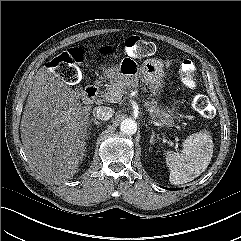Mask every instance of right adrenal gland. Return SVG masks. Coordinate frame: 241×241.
Returning a JSON list of instances; mask_svg holds the SVG:
<instances>
[{"label": "right adrenal gland", "mask_w": 241, "mask_h": 241, "mask_svg": "<svg viewBox=\"0 0 241 241\" xmlns=\"http://www.w3.org/2000/svg\"><path fill=\"white\" fill-rule=\"evenodd\" d=\"M92 122H93L94 125L97 126V128L101 125V122L97 121V120L94 119V118H91L90 121H89V123H88V127H90L89 130H91V128H92V127H91ZM89 134H90V132H89Z\"/></svg>", "instance_id": "1"}]
</instances>
